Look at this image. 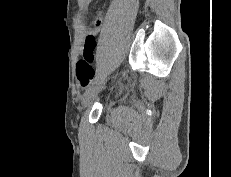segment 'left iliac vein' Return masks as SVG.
<instances>
[{
  "instance_id": "left-iliac-vein-1",
  "label": "left iliac vein",
  "mask_w": 231,
  "mask_h": 177,
  "mask_svg": "<svg viewBox=\"0 0 231 177\" xmlns=\"http://www.w3.org/2000/svg\"><path fill=\"white\" fill-rule=\"evenodd\" d=\"M104 84H105V79L101 80L96 85H92L91 87H89L84 92V94L81 98L82 108H86L87 106H89L94 101V99L97 97L98 93L103 88Z\"/></svg>"
}]
</instances>
